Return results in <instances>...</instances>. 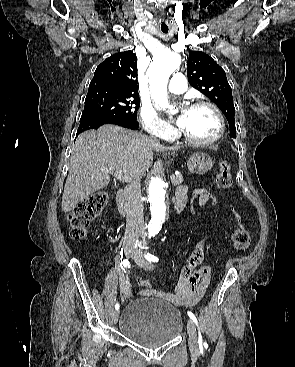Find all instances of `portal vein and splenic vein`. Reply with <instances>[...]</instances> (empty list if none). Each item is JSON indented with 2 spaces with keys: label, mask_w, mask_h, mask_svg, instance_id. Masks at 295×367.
I'll use <instances>...</instances> for the list:
<instances>
[{
  "label": "portal vein and splenic vein",
  "mask_w": 295,
  "mask_h": 367,
  "mask_svg": "<svg viewBox=\"0 0 295 367\" xmlns=\"http://www.w3.org/2000/svg\"><path fill=\"white\" fill-rule=\"evenodd\" d=\"M109 172H111L112 174H114L116 176V178H118V179H120L122 181H125V182L131 181V178L124 171H121L120 170V171L114 172L112 170H109ZM170 178L171 179L175 178V175H172Z\"/></svg>",
  "instance_id": "portal-vein-and-splenic-vein-1"
}]
</instances>
